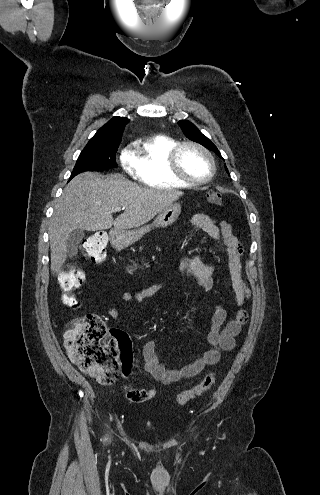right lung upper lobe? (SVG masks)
<instances>
[{
    "instance_id": "1",
    "label": "right lung upper lobe",
    "mask_w": 320,
    "mask_h": 495,
    "mask_svg": "<svg viewBox=\"0 0 320 495\" xmlns=\"http://www.w3.org/2000/svg\"><path fill=\"white\" fill-rule=\"evenodd\" d=\"M129 120L125 117H113L104 124L90 139L86 146L117 145Z\"/></svg>"
}]
</instances>
